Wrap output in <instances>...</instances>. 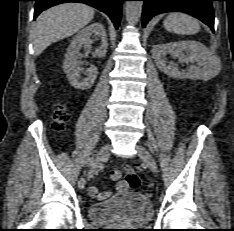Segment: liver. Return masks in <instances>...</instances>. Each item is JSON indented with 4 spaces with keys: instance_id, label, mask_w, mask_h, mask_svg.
<instances>
[{
    "instance_id": "6515ba94",
    "label": "liver",
    "mask_w": 234,
    "mask_h": 231,
    "mask_svg": "<svg viewBox=\"0 0 234 231\" xmlns=\"http://www.w3.org/2000/svg\"><path fill=\"white\" fill-rule=\"evenodd\" d=\"M94 17V9L81 3H64L39 15L33 29V45L40 55L49 45L70 37Z\"/></svg>"
}]
</instances>
